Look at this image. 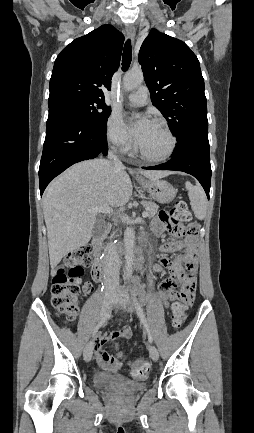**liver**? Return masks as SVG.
Segmentation results:
<instances>
[{
  "label": "liver",
  "instance_id": "6515ba94",
  "mask_svg": "<svg viewBox=\"0 0 254 433\" xmlns=\"http://www.w3.org/2000/svg\"><path fill=\"white\" fill-rule=\"evenodd\" d=\"M125 169L105 159L83 161L49 185L43 196V210L52 269L69 252L89 242L97 214L90 213V209L102 205L122 207L129 201L132 184ZM139 173L150 180L171 174L146 170Z\"/></svg>",
  "mask_w": 254,
  "mask_h": 433
}]
</instances>
